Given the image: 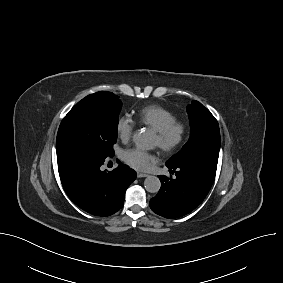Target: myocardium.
I'll return each instance as SVG.
<instances>
[{"mask_svg":"<svg viewBox=\"0 0 283 283\" xmlns=\"http://www.w3.org/2000/svg\"><path fill=\"white\" fill-rule=\"evenodd\" d=\"M187 134L186 124L175 119L156 131L159 138V148L164 152L177 150L184 142Z\"/></svg>","mask_w":283,"mask_h":283,"instance_id":"f54148a6","label":"myocardium"}]
</instances>
